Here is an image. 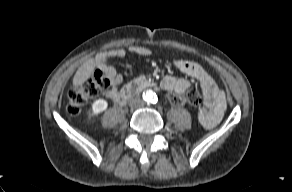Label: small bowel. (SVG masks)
I'll return each instance as SVG.
<instances>
[{"label": "small bowel", "instance_id": "obj_1", "mask_svg": "<svg viewBox=\"0 0 292 192\" xmlns=\"http://www.w3.org/2000/svg\"><path fill=\"white\" fill-rule=\"evenodd\" d=\"M127 53L149 56L151 50L144 46H131L127 50L119 48L110 50L102 56L96 63L98 69L102 70L110 80V88L107 91V97L112 101L122 104L121 98L123 89L120 84L123 81L122 75L108 63L109 58H123ZM174 66L183 74L198 81L205 98V105L197 112L200 124L205 128H212L221 120L226 109V96L215 80L196 62L176 59ZM161 87L170 94H182L190 88V83L184 78L175 76H165L161 82Z\"/></svg>", "mask_w": 292, "mask_h": 192}]
</instances>
